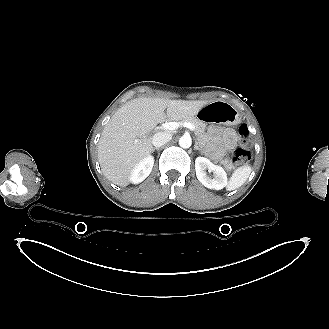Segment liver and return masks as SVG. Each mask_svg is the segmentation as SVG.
Segmentation results:
<instances>
[{
    "label": "liver",
    "mask_w": 329,
    "mask_h": 329,
    "mask_svg": "<svg viewBox=\"0 0 329 329\" xmlns=\"http://www.w3.org/2000/svg\"><path fill=\"white\" fill-rule=\"evenodd\" d=\"M209 103L142 97L124 104L104 127L98 143L104 176L118 186H127L133 168L153 148L151 138L146 135L166 119L178 121L196 116Z\"/></svg>",
    "instance_id": "obj_1"
}]
</instances>
